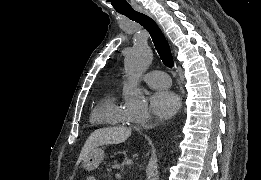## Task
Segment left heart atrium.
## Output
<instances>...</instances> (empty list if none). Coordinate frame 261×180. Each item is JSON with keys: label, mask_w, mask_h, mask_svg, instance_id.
Segmentation results:
<instances>
[{"label": "left heart atrium", "mask_w": 261, "mask_h": 180, "mask_svg": "<svg viewBox=\"0 0 261 180\" xmlns=\"http://www.w3.org/2000/svg\"><path fill=\"white\" fill-rule=\"evenodd\" d=\"M178 107L179 99L175 93L167 89H158L150 95L145 113L139 117L144 119L153 115L158 118H168L177 111Z\"/></svg>", "instance_id": "left-heart-atrium-1"}]
</instances>
